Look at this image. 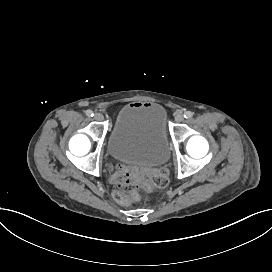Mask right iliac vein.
Returning a JSON list of instances; mask_svg holds the SVG:
<instances>
[{"instance_id":"obj_1","label":"right iliac vein","mask_w":272,"mask_h":272,"mask_svg":"<svg viewBox=\"0 0 272 272\" xmlns=\"http://www.w3.org/2000/svg\"><path fill=\"white\" fill-rule=\"evenodd\" d=\"M94 118L96 121L103 120V115L101 113H95Z\"/></svg>"}]
</instances>
